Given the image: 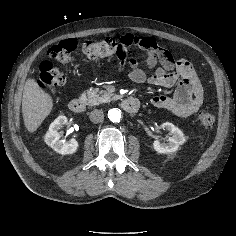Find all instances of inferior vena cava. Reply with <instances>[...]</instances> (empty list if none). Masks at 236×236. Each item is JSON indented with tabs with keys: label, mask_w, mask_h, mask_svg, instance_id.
Returning <instances> with one entry per match:
<instances>
[{
	"label": "inferior vena cava",
	"mask_w": 236,
	"mask_h": 236,
	"mask_svg": "<svg viewBox=\"0 0 236 236\" xmlns=\"http://www.w3.org/2000/svg\"><path fill=\"white\" fill-rule=\"evenodd\" d=\"M90 121L93 123L102 122L104 119V113L101 110L95 109L90 112Z\"/></svg>",
	"instance_id": "602c4592"
}]
</instances>
